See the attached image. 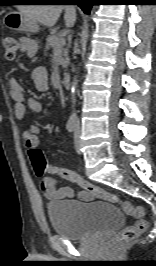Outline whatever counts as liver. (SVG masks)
Instances as JSON below:
<instances>
[{"instance_id":"1","label":"liver","mask_w":156,"mask_h":266,"mask_svg":"<svg viewBox=\"0 0 156 266\" xmlns=\"http://www.w3.org/2000/svg\"><path fill=\"white\" fill-rule=\"evenodd\" d=\"M19 11L29 17L35 23H41L47 27L56 24L63 10L67 27H72L76 20L75 7L72 5H22Z\"/></svg>"}]
</instances>
